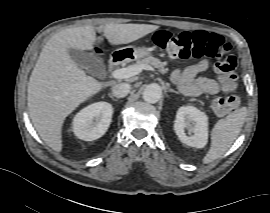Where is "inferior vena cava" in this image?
Wrapping results in <instances>:
<instances>
[{"mask_svg": "<svg viewBox=\"0 0 270 213\" xmlns=\"http://www.w3.org/2000/svg\"><path fill=\"white\" fill-rule=\"evenodd\" d=\"M131 86L128 83H118L112 88V95L117 98H123L130 92Z\"/></svg>", "mask_w": 270, "mask_h": 213, "instance_id": "1", "label": "inferior vena cava"}]
</instances>
